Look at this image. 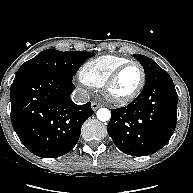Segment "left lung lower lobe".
I'll return each mask as SVG.
<instances>
[{
	"mask_svg": "<svg viewBox=\"0 0 193 193\" xmlns=\"http://www.w3.org/2000/svg\"><path fill=\"white\" fill-rule=\"evenodd\" d=\"M178 95L162 68L146 78L139 96L126 107L111 109L108 134L115 145L132 156L160 150L171 138L177 120Z\"/></svg>",
	"mask_w": 193,
	"mask_h": 193,
	"instance_id": "1",
	"label": "left lung lower lobe"
}]
</instances>
